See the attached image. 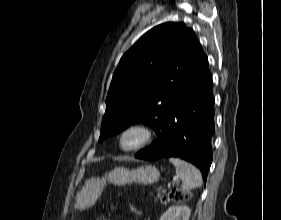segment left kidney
Returning <instances> with one entry per match:
<instances>
[{
	"label": "left kidney",
	"mask_w": 281,
	"mask_h": 220,
	"mask_svg": "<svg viewBox=\"0 0 281 220\" xmlns=\"http://www.w3.org/2000/svg\"><path fill=\"white\" fill-rule=\"evenodd\" d=\"M191 210L186 205H174L167 209L159 220H189Z\"/></svg>",
	"instance_id": "left-kidney-1"
}]
</instances>
